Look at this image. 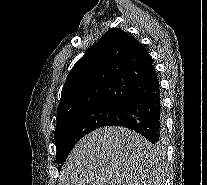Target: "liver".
<instances>
[{
	"label": "liver",
	"instance_id": "1",
	"mask_svg": "<svg viewBox=\"0 0 207 185\" xmlns=\"http://www.w3.org/2000/svg\"><path fill=\"white\" fill-rule=\"evenodd\" d=\"M152 143L126 127H100L73 147L61 185H151ZM157 179V177H155ZM154 185L158 181H153Z\"/></svg>",
	"mask_w": 207,
	"mask_h": 185
}]
</instances>
